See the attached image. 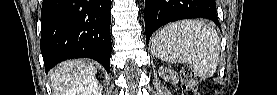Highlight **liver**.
<instances>
[{"label": "liver", "mask_w": 277, "mask_h": 95, "mask_svg": "<svg viewBox=\"0 0 277 95\" xmlns=\"http://www.w3.org/2000/svg\"><path fill=\"white\" fill-rule=\"evenodd\" d=\"M97 68L87 60H68L61 62L50 71L51 86L54 95H72L82 79L94 76Z\"/></svg>", "instance_id": "6515ba94"}]
</instances>
